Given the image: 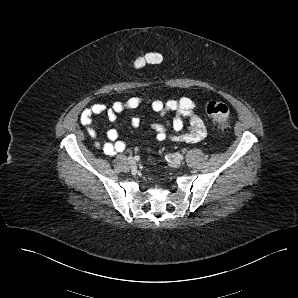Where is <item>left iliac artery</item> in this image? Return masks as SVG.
<instances>
[{
	"mask_svg": "<svg viewBox=\"0 0 298 298\" xmlns=\"http://www.w3.org/2000/svg\"><path fill=\"white\" fill-rule=\"evenodd\" d=\"M170 156L174 159L182 160L184 159V156L179 153L170 154Z\"/></svg>",
	"mask_w": 298,
	"mask_h": 298,
	"instance_id": "left-iliac-artery-1",
	"label": "left iliac artery"
}]
</instances>
